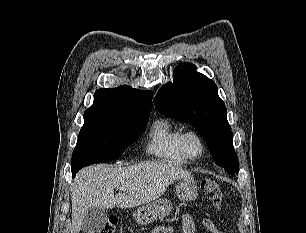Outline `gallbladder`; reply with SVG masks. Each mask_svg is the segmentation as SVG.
<instances>
[{
  "instance_id": "bac80fb5",
  "label": "gallbladder",
  "mask_w": 306,
  "mask_h": 233,
  "mask_svg": "<svg viewBox=\"0 0 306 233\" xmlns=\"http://www.w3.org/2000/svg\"><path fill=\"white\" fill-rule=\"evenodd\" d=\"M108 219L105 209L91 207L84 215L82 230L85 233H100Z\"/></svg>"
}]
</instances>
